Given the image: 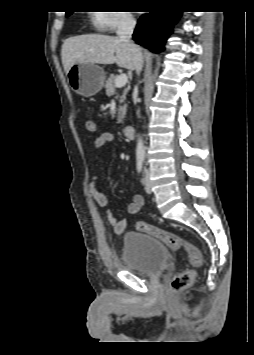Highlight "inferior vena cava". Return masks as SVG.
I'll return each instance as SVG.
<instances>
[{
  "label": "inferior vena cava",
  "mask_w": 254,
  "mask_h": 355,
  "mask_svg": "<svg viewBox=\"0 0 254 355\" xmlns=\"http://www.w3.org/2000/svg\"><path fill=\"white\" fill-rule=\"evenodd\" d=\"M136 22L130 15H123L120 18L117 36L118 38L126 43L135 54V70L139 75L143 67V56L141 50L137 45L131 41L133 30L135 28Z\"/></svg>",
  "instance_id": "602c4592"
}]
</instances>
